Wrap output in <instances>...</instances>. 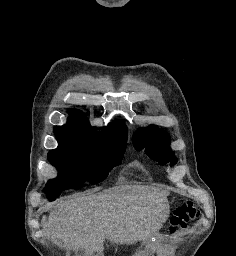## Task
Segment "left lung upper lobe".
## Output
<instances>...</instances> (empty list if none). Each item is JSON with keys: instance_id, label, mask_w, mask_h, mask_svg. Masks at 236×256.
<instances>
[{"instance_id": "left-lung-upper-lobe-1", "label": "left lung upper lobe", "mask_w": 236, "mask_h": 256, "mask_svg": "<svg viewBox=\"0 0 236 256\" xmlns=\"http://www.w3.org/2000/svg\"><path fill=\"white\" fill-rule=\"evenodd\" d=\"M133 144L136 150L146 148V154L160 165L170 162L174 165L177 158L169 147V135L152 125L147 127L144 132H136L133 135Z\"/></svg>"}]
</instances>
